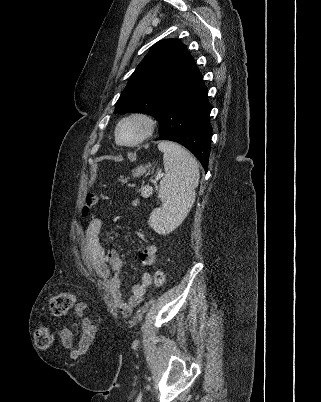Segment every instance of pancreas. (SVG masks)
Masks as SVG:
<instances>
[{
  "label": "pancreas",
  "instance_id": "obj_1",
  "mask_svg": "<svg viewBox=\"0 0 321 402\" xmlns=\"http://www.w3.org/2000/svg\"><path fill=\"white\" fill-rule=\"evenodd\" d=\"M138 203H139L138 200H133V202H132L133 205H136V204H138Z\"/></svg>",
  "mask_w": 321,
  "mask_h": 402
}]
</instances>
